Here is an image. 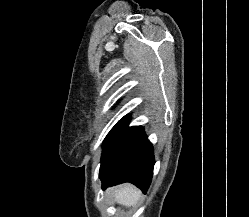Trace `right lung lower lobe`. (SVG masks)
Listing matches in <instances>:
<instances>
[{"instance_id":"98d812e1","label":"right lung lower lobe","mask_w":249,"mask_h":217,"mask_svg":"<svg viewBox=\"0 0 249 217\" xmlns=\"http://www.w3.org/2000/svg\"><path fill=\"white\" fill-rule=\"evenodd\" d=\"M130 120L129 115L123 117L105 138L99 176L103 188L131 182L146 193L153 174V147L142 127H128Z\"/></svg>"}]
</instances>
